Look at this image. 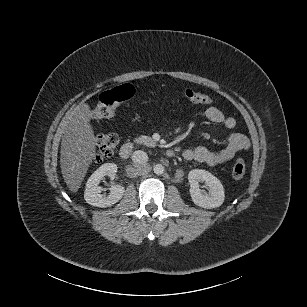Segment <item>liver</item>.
<instances>
[{"instance_id":"1","label":"liver","mask_w":307,"mask_h":307,"mask_svg":"<svg viewBox=\"0 0 307 307\" xmlns=\"http://www.w3.org/2000/svg\"><path fill=\"white\" fill-rule=\"evenodd\" d=\"M92 112L88 104L77 106L61 122L60 165L65 183L76 193L95 158L96 140L90 120Z\"/></svg>"}]
</instances>
